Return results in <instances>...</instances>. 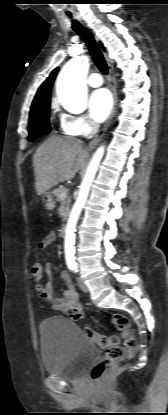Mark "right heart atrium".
Returning <instances> with one entry per match:
<instances>
[{
	"label": "right heart atrium",
	"instance_id": "right-heart-atrium-1",
	"mask_svg": "<svg viewBox=\"0 0 168 415\" xmlns=\"http://www.w3.org/2000/svg\"><path fill=\"white\" fill-rule=\"evenodd\" d=\"M60 122L62 129L71 135L88 136L96 130V124L85 115L63 113Z\"/></svg>",
	"mask_w": 168,
	"mask_h": 415
}]
</instances>
